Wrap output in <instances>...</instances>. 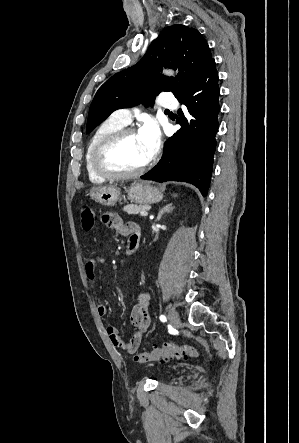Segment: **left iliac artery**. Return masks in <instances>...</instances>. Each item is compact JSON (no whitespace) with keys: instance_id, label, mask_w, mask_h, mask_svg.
<instances>
[{"instance_id":"obj_1","label":"left iliac artery","mask_w":299,"mask_h":443,"mask_svg":"<svg viewBox=\"0 0 299 443\" xmlns=\"http://www.w3.org/2000/svg\"><path fill=\"white\" fill-rule=\"evenodd\" d=\"M160 320L162 322H166L167 321L166 316L165 315H160Z\"/></svg>"}]
</instances>
